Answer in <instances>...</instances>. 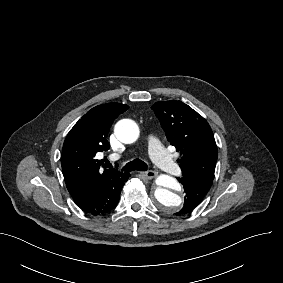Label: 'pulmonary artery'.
I'll return each instance as SVG.
<instances>
[{"label": "pulmonary artery", "mask_w": 283, "mask_h": 283, "mask_svg": "<svg viewBox=\"0 0 283 283\" xmlns=\"http://www.w3.org/2000/svg\"><path fill=\"white\" fill-rule=\"evenodd\" d=\"M147 145L151 160L157 168L166 173H171L175 170L176 163L172 158L166 156L162 140L159 136H150L147 140ZM177 173H179V170Z\"/></svg>", "instance_id": "e3ab8cb5"}]
</instances>
